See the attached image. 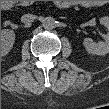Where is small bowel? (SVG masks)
<instances>
[{"label":"small bowel","instance_id":"1","mask_svg":"<svg viewBox=\"0 0 109 109\" xmlns=\"http://www.w3.org/2000/svg\"><path fill=\"white\" fill-rule=\"evenodd\" d=\"M99 1H82L80 2L81 6H97L99 5Z\"/></svg>","mask_w":109,"mask_h":109}]
</instances>
